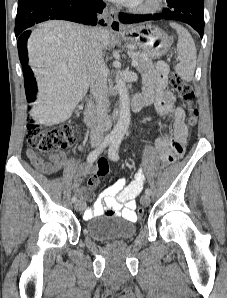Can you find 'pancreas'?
<instances>
[{
  "instance_id": "cf45deb5",
  "label": "pancreas",
  "mask_w": 227,
  "mask_h": 298,
  "mask_svg": "<svg viewBox=\"0 0 227 298\" xmlns=\"http://www.w3.org/2000/svg\"><path fill=\"white\" fill-rule=\"evenodd\" d=\"M133 58L137 60L136 70L141 74L152 70L154 67L152 60L144 53H137Z\"/></svg>"
}]
</instances>
